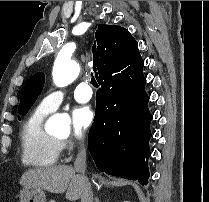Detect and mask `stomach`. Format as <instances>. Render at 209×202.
<instances>
[{
    "label": "stomach",
    "mask_w": 209,
    "mask_h": 202,
    "mask_svg": "<svg viewBox=\"0 0 209 202\" xmlns=\"http://www.w3.org/2000/svg\"><path fill=\"white\" fill-rule=\"evenodd\" d=\"M19 198L20 202H46V195L42 189L29 186H24L20 190Z\"/></svg>",
    "instance_id": "obj_1"
}]
</instances>
